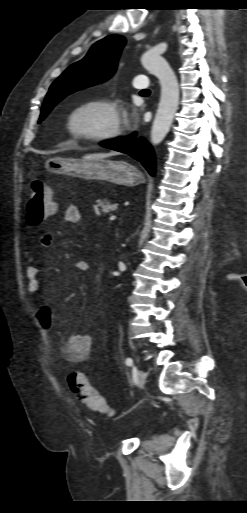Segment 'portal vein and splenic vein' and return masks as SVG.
I'll list each match as a JSON object with an SVG mask.
<instances>
[{
	"label": "portal vein and splenic vein",
	"instance_id": "1",
	"mask_svg": "<svg viewBox=\"0 0 247 513\" xmlns=\"http://www.w3.org/2000/svg\"><path fill=\"white\" fill-rule=\"evenodd\" d=\"M115 219H116V216H115V215H113V216H111V217L109 218V220H110V221H113V220H115Z\"/></svg>",
	"mask_w": 247,
	"mask_h": 513
}]
</instances>
